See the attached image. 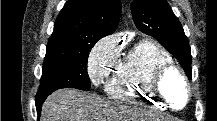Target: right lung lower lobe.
Segmentation results:
<instances>
[{
	"mask_svg": "<svg viewBox=\"0 0 217 121\" xmlns=\"http://www.w3.org/2000/svg\"><path fill=\"white\" fill-rule=\"evenodd\" d=\"M46 98H47V96L36 99V108H37L38 116H40V114H41L42 104H43V102L45 101Z\"/></svg>",
	"mask_w": 217,
	"mask_h": 121,
	"instance_id": "right-lung-lower-lobe-1",
	"label": "right lung lower lobe"
}]
</instances>
